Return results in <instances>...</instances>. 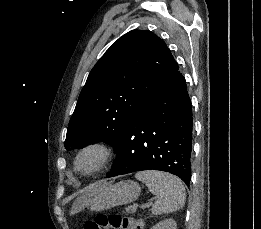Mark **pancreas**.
<instances>
[{"label":"pancreas","instance_id":"pancreas-1","mask_svg":"<svg viewBox=\"0 0 261 229\" xmlns=\"http://www.w3.org/2000/svg\"><path fill=\"white\" fill-rule=\"evenodd\" d=\"M131 211L132 213H136V209L134 207H132ZM126 213H129V209H126Z\"/></svg>","mask_w":261,"mask_h":229}]
</instances>
